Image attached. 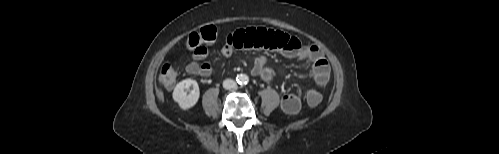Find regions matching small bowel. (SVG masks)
I'll use <instances>...</instances> for the list:
<instances>
[{
    "label": "small bowel",
    "instance_id": "small-bowel-1",
    "mask_svg": "<svg viewBox=\"0 0 499 154\" xmlns=\"http://www.w3.org/2000/svg\"><path fill=\"white\" fill-rule=\"evenodd\" d=\"M238 49L272 50L291 59L308 61L312 64V75L318 87H325L329 81L330 65L322 50L315 45H304L297 37L284 32L264 27L238 29L227 36L221 53L224 57H230ZM207 55L208 48L205 45L194 50L193 61L186 66V72L195 76H210V64L200 63ZM251 72L264 80L272 77L271 69L266 66V58L262 56L253 60ZM281 108L287 114L298 113L301 109L300 97L294 93L284 94L281 98Z\"/></svg>",
    "mask_w": 499,
    "mask_h": 154
}]
</instances>
